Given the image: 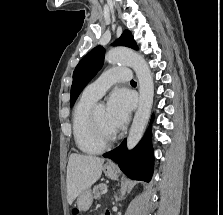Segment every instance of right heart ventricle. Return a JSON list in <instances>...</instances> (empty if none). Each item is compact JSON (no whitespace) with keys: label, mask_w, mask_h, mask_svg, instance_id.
I'll return each instance as SVG.
<instances>
[{"label":"right heart ventricle","mask_w":223,"mask_h":215,"mask_svg":"<svg viewBox=\"0 0 223 215\" xmlns=\"http://www.w3.org/2000/svg\"><path fill=\"white\" fill-rule=\"evenodd\" d=\"M95 99L84 94L76 104L72 118V135L76 147L83 153L93 155L101 153L92 138L91 115Z\"/></svg>","instance_id":"1"}]
</instances>
